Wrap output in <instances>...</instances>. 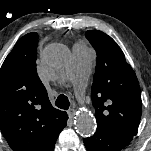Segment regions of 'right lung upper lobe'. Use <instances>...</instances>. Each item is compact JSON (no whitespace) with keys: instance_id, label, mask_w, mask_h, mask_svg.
<instances>
[{"instance_id":"right-lung-upper-lobe-1","label":"right lung upper lobe","mask_w":151,"mask_h":151,"mask_svg":"<svg viewBox=\"0 0 151 151\" xmlns=\"http://www.w3.org/2000/svg\"><path fill=\"white\" fill-rule=\"evenodd\" d=\"M37 44V33L23 36L0 69V129L14 151H53L67 123L37 75Z\"/></svg>"}]
</instances>
